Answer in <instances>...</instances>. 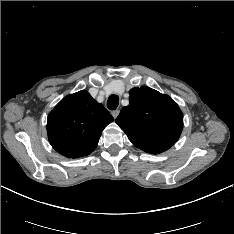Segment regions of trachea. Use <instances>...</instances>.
I'll return each mask as SVG.
<instances>
[{
  "label": "trachea",
  "instance_id": "trachea-1",
  "mask_svg": "<svg viewBox=\"0 0 234 234\" xmlns=\"http://www.w3.org/2000/svg\"><path fill=\"white\" fill-rule=\"evenodd\" d=\"M119 97L117 95H111L107 100V107L110 110H115L118 106Z\"/></svg>",
  "mask_w": 234,
  "mask_h": 234
}]
</instances>
